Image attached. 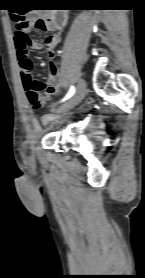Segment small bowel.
<instances>
[{"mask_svg":"<svg viewBox=\"0 0 145 278\" xmlns=\"http://www.w3.org/2000/svg\"><path fill=\"white\" fill-rule=\"evenodd\" d=\"M30 18L33 20L35 18V15L34 14L30 15ZM31 30H32L31 27L27 28L25 31V34H26V32L31 31ZM46 30L53 31L54 28L51 27L49 24ZM26 36H27V34H26ZM28 39H29V44H28L29 47L34 50H40L43 48L44 45L47 46V48L49 49L50 57H52V50L61 41V37L58 33H51L50 35H48L45 38V40L43 42L33 40L29 37H28ZM14 40H15V43L17 44V40H16L15 36H14ZM18 67H19L20 81L23 85L25 95L28 98V89L26 87V82L28 79L32 78V63H31V60L27 57V55L22 59L18 58ZM48 67H49V72H48L49 85L46 88H43L41 86V84H39L41 86L40 94L42 97L43 104L45 102H47L58 91L57 87L55 86V81L57 78V65L53 60H51L49 62ZM46 120H50V118H46ZM41 130H42V128H41L40 124L38 122H36L32 128V133L36 135V134H39L41 132Z\"/></svg>","mask_w":145,"mask_h":278,"instance_id":"obj_1","label":"small bowel"}]
</instances>
